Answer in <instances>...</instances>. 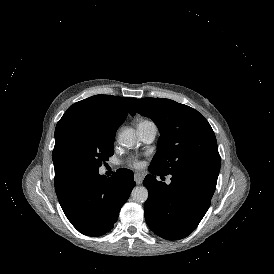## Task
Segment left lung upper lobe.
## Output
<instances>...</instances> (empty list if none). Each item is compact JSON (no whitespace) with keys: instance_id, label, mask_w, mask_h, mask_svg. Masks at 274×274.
I'll list each match as a JSON object with an SVG mask.
<instances>
[{"instance_id":"obj_1","label":"left lung upper lobe","mask_w":274,"mask_h":274,"mask_svg":"<svg viewBox=\"0 0 274 274\" xmlns=\"http://www.w3.org/2000/svg\"><path fill=\"white\" fill-rule=\"evenodd\" d=\"M151 118L160 130L157 152L150 164L164 174L204 172L218 176L221 158L215 134L195 109L164 98H142L130 113Z\"/></svg>"}]
</instances>
